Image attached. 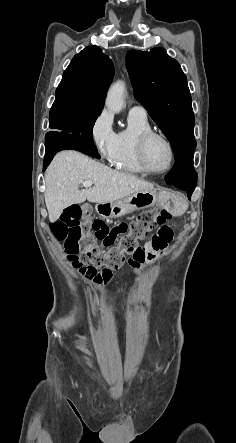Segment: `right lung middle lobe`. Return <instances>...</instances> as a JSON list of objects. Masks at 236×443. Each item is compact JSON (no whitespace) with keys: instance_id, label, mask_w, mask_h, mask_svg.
<instances>
[{"instance_id":"obj_1","label":"right lung middle lobe","mask_w":236,"mask_h":443,"mask_svg":"<svg viewBox=\"0 0 236 443\" xmlns=\"http://www.w3.org/2000/svg\"><path fill=\"white\" fill-rule=\"evenodd\" d=\"M100 112L101 110L81 109L64 104L52 106L49 127L53 131L49 132L46 138L60 135L67 139L76 137L94 144L92 129Z\"/></svg>"}]
</instances>
